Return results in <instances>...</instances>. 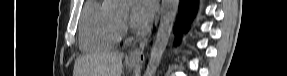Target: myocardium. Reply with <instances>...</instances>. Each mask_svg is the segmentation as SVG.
I'll list each match as a JSON object with an SVG mask.
<instances>
[{"instance_id":"obj_1","label":"myocardium","mask_w":287,"mask_h":76,"mask_svg":"<svg viewBox=\"0 0 287 76\" xmlns=\"http://www.w3.org/2000/svg\"><path fill=\"white\" fill-rule=\"evenodd\" d=\"M119 20V22H122V20L121 19H118Z\"/></svg>"}]
</instances>
